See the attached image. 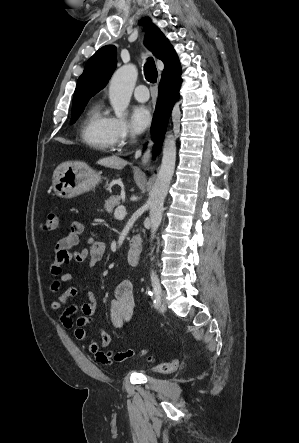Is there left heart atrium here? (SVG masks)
Returning a JSON list of instances; mask_svg holds the SVG:
<instances>
[{
	"label": "left heart atrium",
	"instance_id": "obj_1",
	"mask_svg": "<svg viewBox=\"0 0 299 443\" xmlns=\"http://www.w3.org/2000/svg\"><path fill=\"white\" fill-rule=\"evenodd\" d=\"M151 122V113L148 107L138 105L131 113L132 129L136 133H141L148 128Z\"/></svg>",
	"mask_w": 299,
	"mask_h": 443
}]
</instances>
